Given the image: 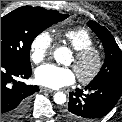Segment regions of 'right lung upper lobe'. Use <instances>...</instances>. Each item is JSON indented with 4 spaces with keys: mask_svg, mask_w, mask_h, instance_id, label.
I'll list each match as a JSON object with an SVG mask.
<instances>
[{
    "mask_svg": "<svg viewBox=\"0 0 122 122\" xmlns=\"http://www.w3.org/2000/svg\"><path fill=\"white\" fill-rule=\"evenodd\" d=\"M37 8L42 9V10H45V9H43V8H40V7H37ZM45 11H53V10H45Z\"/></svg>",
    "mask_w": 122,
    "mask_h": 122,
    "instance_id": "obj_1",
    "label": "right lung upper lobe"
}]
</instances>
